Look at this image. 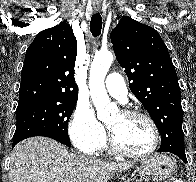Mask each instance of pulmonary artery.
<instances>
[{"mask_svg":"<svg viewBox=\"0 0 196 182\" xmlns=\"http://www.w3.org/2000/svg\"><path fill=\"white\" fill-rule=\"evenodd\" d=\"M105 88L112 97L121 101L126 100L127 87L121 75L117 73L108 75L105 82Z\"/></svg>","mask_w":196,"mask_h":182,"instance_id":"1","label":"pulmonary artery"}]
</instances>
